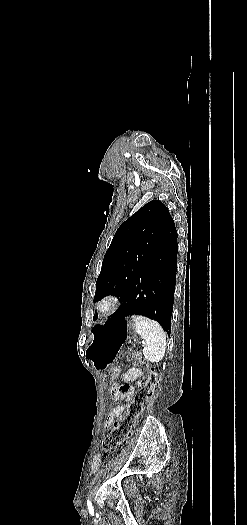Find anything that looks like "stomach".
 <instances>
[{
  "label": "stomach",
  "mask_w": 247,
  "mask_h": 525,
  "mask_svg": "<svg viewBox=\"0 0 247 525\" xmlns=\"http://www.w3.org/2000/svg\"><path fill=\"white\" fill-rule=\"evenodd\" d=\"M137 334L132 318H110L93 328L90 344L86 349L89 359L98 371L106 370L115 360L122 345Z\"/></svg>",
  "instance_id": "stomach-1"
}]
</instances>
